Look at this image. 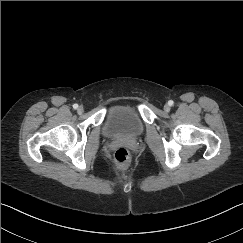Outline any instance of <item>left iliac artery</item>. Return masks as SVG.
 Segmentation results:
<instances>
[{
	"label": "left iliac artery",
	"mask_w": 243,
	"mask_h": 243,
	"mask_svg": "<svg viewBox=\"0 0 243 243\" xmlns=\"http://www.w3.org/2000/svg\"><path fill=\"white\" fill-rule=\"evenodd\" d=\"M168 104H169L170 106H173L174 102H173L172 100H170V101H168Z\"/></svg>",
	"instance_id": "1"
}]
</instances>
